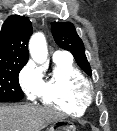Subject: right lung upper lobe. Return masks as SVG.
Listing matches in <instances>:
<instances>
[{
    "instance_id": "cb5924a9",
    "label": "right lung upper lobe",
    "mask_w": 117,
    "mask_h": 131,
    "mask_svg": "<svg viewBox=\"0 0 117 131\" xmlns=\"http://www.w3.org/2000/svg\"><path fill=\"white\" fill-rule=\"evenodd\" d=\"M32 24L28 18L9 16L0 31V65H25L29 58L28 41Z\"/></svg>"
}]
</instances>
